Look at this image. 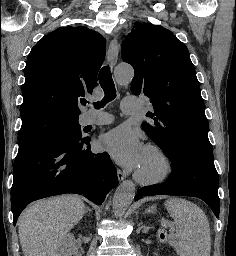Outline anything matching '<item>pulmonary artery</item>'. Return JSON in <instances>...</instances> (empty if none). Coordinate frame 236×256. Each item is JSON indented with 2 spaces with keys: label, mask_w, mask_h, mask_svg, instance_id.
Segmentation results:
<instances>
[{
  "label": "pulmonary artery",
  "mask_w": 236,
  "mask_h": 256,
  "mask_svg": "<svg viewBox=\"0 0 236 256\" xmlns=\"http://www.w3.org/2000/svg\"><path fill=\"white\" fill-rule=\"evenodd\" d=\"M137 96H125V101H123V115H134L135 109H137ZM112 122V118H103L99 120H88L86 125H106Z\"/></svg>",
  "instance_id": "obj_1"
}]
</instances>
